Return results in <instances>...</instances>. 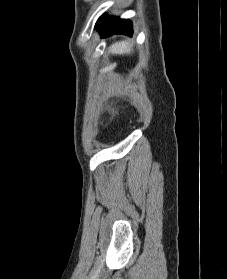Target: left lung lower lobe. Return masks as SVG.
I'll list each match as a JSON object with an SVG mask.
<instances>
[{
    "label": "left lung lower lobe",
    "mask_w": 227,
    "mask_h": 279,
    "mask_svg": "<svg viewBox=\"0 0 227 279\" xmlns=\"http://www.w3.org/2000/svg\"><path fill=\"white\" fill-rule=\"evenodd\" d=\"M96 27L101 30L100 34L103 37L118 33L129 36L133 34L132 23L128 19H119L118 17L109 18L104 15L97 21Z\"/></svg>",
    "instance_id": "obj_1"
}]
</instances>
